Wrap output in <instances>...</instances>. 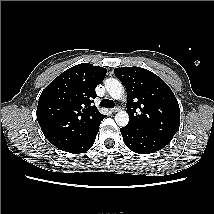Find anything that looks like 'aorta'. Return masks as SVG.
I'll return each instance as SVG.
<instances>
[{
	"instance_id": "762f6f07",
	"label": "aorta",
	"mask_w": 214,
	"mask_h": 214,
	"mask_svg": "<svg viewBox=\"0 0 214 214\" xmlns=\"http://www.w3.org/2000/svg\"><path fill=\"white\" fill-rule=\"evenodd\" d=\"M105 88L109 95L116 100L121 99L124 96V88L120 81L115 78H107L104 81ZM115 122L118 126L124 127L129 122V115L126 111H119L115 115Z\"/></svg>"
}]
</instances>
